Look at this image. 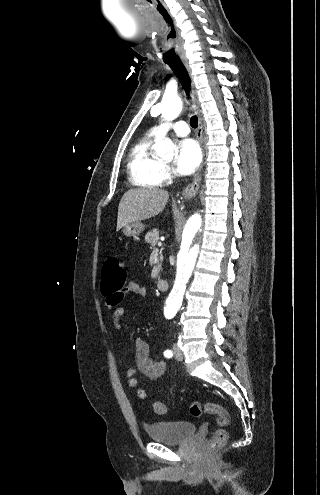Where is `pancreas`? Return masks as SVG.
Returning a JSON list of instances; mask_svg holds the SVG:
<instances>
[{
	"instance_id": "1",
	"label": "pancreas",
	"mask_w": 320,
	"mask_h": 495,
	"mask_svg": "<svg viewBox=\"0 0 320 495\" xmlns=\"http://www.w3.org/2000/svg\"><path fill=\"white\" fill-rule=\"evenodd\" d=\"M146 243H149L154 249L159 241V231L158 229H152L145 236Z\"/></svg>"
}]
</instances>
